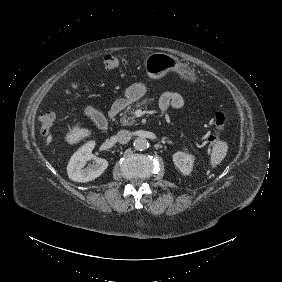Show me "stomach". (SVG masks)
Instances as JSON below:
<instances>
[{
	"instance_id": "1",
	"label": "stomach",
	"mask_w": 282,
	"mask_h": 282,
	"mask_svg": "<svg viewBox=\"0 0 282 282\" xmlns=\"http://www.w3.org/2000/svg\"><path fill=\"white\" fill-rule=\"evenodd\" d=\"M143 69L147 77L154 81L163 79L168 73H176L177 76L192 85H197L199 78L193 67L179 60L178 57L163 53L152 52L145 57ZM148 91L145 82L139 81L127 86L124 92L129 104H133L143 98Z\"/></svg>"
}]
</instances>
